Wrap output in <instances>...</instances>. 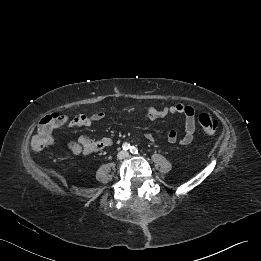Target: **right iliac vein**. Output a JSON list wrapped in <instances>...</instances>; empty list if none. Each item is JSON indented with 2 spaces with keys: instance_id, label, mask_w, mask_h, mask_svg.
Returning <instances> with one entry per match:
<instances>
[{
  "instance_id": "obj_1",
  "label": "right iliac vein",
  "mask_w": 261,
  "mask_h": 261,
  "mask_svg": "<svg viewBox=\"0 0 261 261\" xmlns=\"http://www.w3.org/2000/svg\"><path fill=\"white\" fill-rule=\"evenodd\" d=\"M124 156V154L122 153V154H120V157H123Z\"/></svg>"
}]
</instances>
